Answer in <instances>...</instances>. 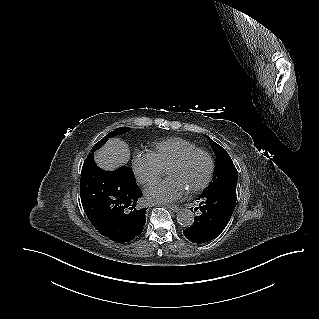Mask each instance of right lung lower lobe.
<instances>
[{"instance_id":"1","label":"right lung lower lobe","mask_w":319,"mask_h":319,"mask_svg":"<svg viewBox=\"0 0 319 319\" xmlns=\"http://www.w3.org/2000/svg\"><path fill=\"white\" fill-rule=\"evenodd\" d=\"M80 187L84 211L103 236L125 243L142 233L146 209L139 206L143 194L130 168L102 170L90 153L82 167Z\"/></svg>"}]
</instances>
